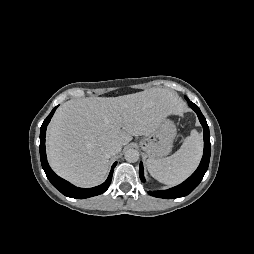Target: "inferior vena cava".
<instances>
[{
    "label": "inferior vena cava",
    "instance_id": "1",
    "mask_svg": "<svg viewBox=\"0 0 254 254\" xmlns=\"http://www.w3.org/2000/svg\"><path fill=\"white\" fill-rule=\"evenodd\" d=\"M120 151H121V145L118 143H112L106 149L107 155L109 157L118 154Z\"/></svg>",
    "mask_w": 254,
    "mask_h": 254
}]
</instances>
